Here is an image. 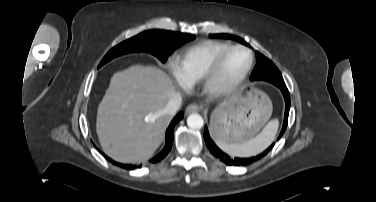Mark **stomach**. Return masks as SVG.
Segmentation results:
<instances>
[{"mask_svg": "<svg viewBox=\"0 0 376 202\" xmlns=\"http://www.w3.org/2000/svg\"><path fill=\"white\" fill-rule=\"evenodd\" d=\"M271 114V101L263 92L237 93L214 110L210 130L216 141L244 143L262 129Z\"/></svg>", "mask_w": 376, "mask_h": 202, "instance_id": "1", "label": "stomach"}]
</instances>
